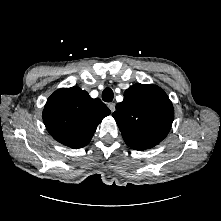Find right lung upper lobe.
Instances as JSON below:
<instances>
[{
  "instance_id": "1",
  "label": "right lung upper lobe",
  "mask_w": 221,
  "mask_h": 221,
  "mask_svg": "<svg viewBox=\"0 0 221 221\" xmlns=\"http://www.w3.org/2000/svg\"><path fill=\"white\" fill-rule=\"evenodd\" d=\"M109 114L100 99H92L86 91L71 87L59 89L48 98L43 121L58 142L81 148L90 142L98 124Z\"/></svg>"
}]
</instances>
